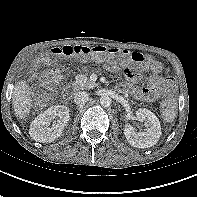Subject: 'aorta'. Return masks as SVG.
<instances>
[{"instance_id":"aorta-1","label":"aorta","mask_w":197,"mask_h":197,"mask_svg":"<svg viewBox=\"0 0 197 197\" xmlns=\"http://www.w3.org/2000/svg\"><path fill=\"white\" fill-rule=\"evenodd\" d=\"M111 102H112L111 98L107 95H103L100 97V104L103 107H109Z\"/></svg>"}]
</instances>
